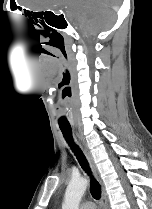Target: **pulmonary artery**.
I'll use <instances>...</instances> for the list:
<instances>
[{
    "mask_svg": "<svg viewBox=\"0 0 152 209\" xmlns=\"http://www.w3.org/2000/svg\"><path fill=\"white\" fill-rule=\"evenodd\" d=\"M80 209H96V206L93 202H84L80 205Z\"/></svg>",
    "mask_w": 152,
    "mask_h": 209,
    "instance_id": "pulmonary-artery-1",
    "label": "pulmonary artery"
}]
</instances>
